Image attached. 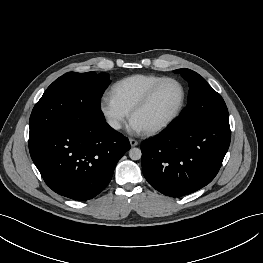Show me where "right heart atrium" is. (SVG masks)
<instances>
[{"label": "right heart atrium", "instance_id": "d8ad5b80", "mask_svg": "<svg viewBox=\"0 0 263 263\" xmlns=\"http://www.w3.org/2000/svg\"><path fill=\"white\" fill-rule=\"evenodd\" d=\"M100 111L108 126L115 131L121 129L129 115V112L121 107L111 94H106L101 98Z\"/></svg>", "mask_w": 263, "mask_h": 263}]
</instances>
